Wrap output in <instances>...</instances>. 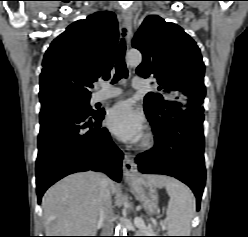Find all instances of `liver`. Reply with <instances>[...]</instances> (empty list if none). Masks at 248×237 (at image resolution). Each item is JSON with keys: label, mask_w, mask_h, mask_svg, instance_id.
Masks as SVG:
<instances>
[{"label": "liver", "mask_w": 248, "mask_h": 237, "mask_svg": "<svg viewBox=\"0 0 248 237\" xmlns=\"http://www.w3.org/2000/svg\"><path fill=\"white\" fill-rule=\"evenodd\" d=\"M161 188L169 179L144 175ZM101 175L97 172L72 174L49 188L42 199L46 236H91L95 234L99 214ZM110 191L118 186L109 180Z\"/></svg>", "instance_id": "1"}]
</instances>
